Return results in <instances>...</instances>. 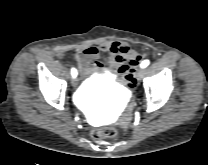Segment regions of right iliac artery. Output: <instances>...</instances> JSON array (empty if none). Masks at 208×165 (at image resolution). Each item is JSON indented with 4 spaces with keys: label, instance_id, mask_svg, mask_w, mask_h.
Segmentation results:
<instances>
[{
    "label": "right iliac artery",
    "instance_id": "right-iliac-artery-1",
    "mask_svg": "<svg viewBox=\"0 0 208 165\" xmlns=\"http://www.w3.org/2000/svg\"><path fill=\"white\" fill-rule=\"evenodd\" d=\"M71 74L73 77H76L77 76V70L75 68H72L71 69Z\"/></svg>",
    "mask_w": 208,
    "mask_h": 165
}]
</instances>
